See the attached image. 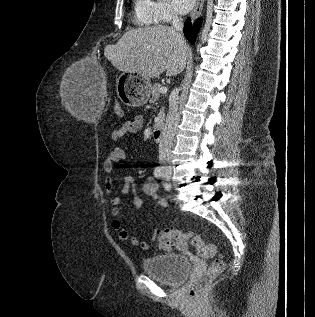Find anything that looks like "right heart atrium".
I'll use <instances>...</instances> for the list:
<instances>
[{
  "mask_svg": "<svg viewBox=\"0 0 315 317\" xmlns=\"http://www.w3.org/2000/svg\"><path fill=\"white\" fill-rule=\"evenodd\" d=\"M146 2L157 22H165L173 17V13L165 2L151 0H146Z\"/></svg>",
  "mask_w": 315,
  "mask_h": 317,
  "instance_id": "1",
  "label": "right heart atrium"
}]
</instances>
